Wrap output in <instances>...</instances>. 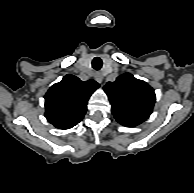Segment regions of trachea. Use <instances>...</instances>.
I'll use <instances>...</instances> for the list:
<instances>
[{
	"mask_svg": "<svg viewBox=\"0 0 194 193\" xmlns=\"http://www.w3.org/2000/svg\"><path fill=\"white\" fill-rule=\"evenodd\" d=\"M102 60L100 57H95L92 61V68L95 69V70H100L101 67H102Z\"/></svg>",
	"mask_w": 194,
	"mask_h": 193,
	"instance_id": "obj_1",
	"label": "trachea"
}]
</instances>
